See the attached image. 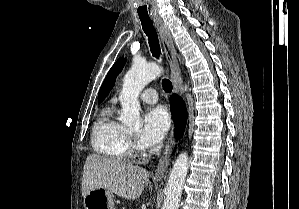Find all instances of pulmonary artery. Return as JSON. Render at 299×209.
Masks as SVG:
<instances>
[{
	"label": "pulmonary artery",
	"mask_w": 299,
	"mask_h": 209,
	"mask_svg": "<svg viewBox=\"0 0 299 209\" xmlns=\"http://www.w3.org/2000/svg\"><path fill=\"white\" fill-rule=\"evenodd\" d=\"M139 99L145 103L154 104L159 98L155 89L147 88L140 93Z\"/></svg>",
	"instance_id": "e3ab8cb5"
}]
</instances>
